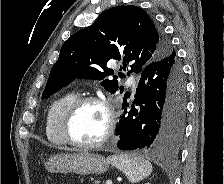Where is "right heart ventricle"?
Here are the masks:
<instances>
[{
    "label": "right heart ventricle",
    "mask_w": 224,
    "mask_h": 184,
    "mask_svg": "<svg viewBox=\"0 0 224 184\" xmlns=\"http://www.w3.org/2000/svg\"><path fill=\"white\" fill-rule=\"evenodd\" d=\"M78 97L75 91H68L59 96L49 107L46 116L45 133L50 143L56 146L66 142L61 133V122L65 110Z\"/></svg>",
    "instance_id": "1"
}]
</instances>
